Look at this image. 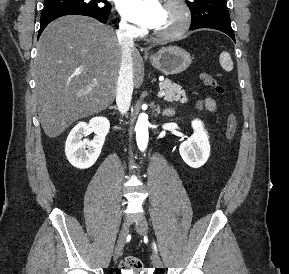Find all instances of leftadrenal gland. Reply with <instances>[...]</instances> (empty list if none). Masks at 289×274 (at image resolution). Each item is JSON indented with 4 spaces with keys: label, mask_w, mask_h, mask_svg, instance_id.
<instances>
[{
    "label": "left adrenal gland",
    "mask_w": 289,
    "mask_h": 274,
    "mask_svg": "<svg viewBox=\"0 0 289 274\" xmlns=\"http://www.w3.org/2000/svg\"><path fill=\"white\" fill-rule=\"evenodd\" d=\"M173 113L172 109L166 108L163 110V116H170Z\"/></svg>",
    "instance_id": "a2214340"
}]
</instances>
